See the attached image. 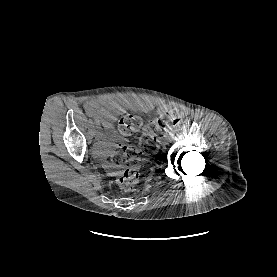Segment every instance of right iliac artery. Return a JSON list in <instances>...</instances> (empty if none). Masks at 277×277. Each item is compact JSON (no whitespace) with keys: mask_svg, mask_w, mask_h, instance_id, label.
<instances>
[{"mask_svg":"<svg viewBox=\"0 0 277 277\" xmlns=\"http://www.w3.org/2000/svg\"><path fill=\"white\" fill-rule=\"evenodd\" d=\"M94 133H95V134H100V129H99V127H98V126H96V127H95V129H94Z\"/></svg>","mask_w":277,"mask_h":277,"instance_id":"1","label":"right iliac artery"}]
</instances>
